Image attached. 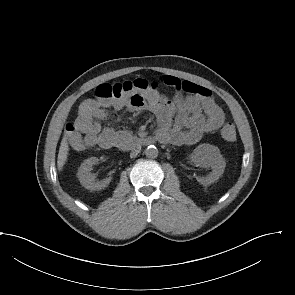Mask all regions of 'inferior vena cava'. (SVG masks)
<instances>
[{
	"label": "inferior vena cava",
	"mask_w": 295,
	"mask_h": 295,
	"mask_svg": "<svg viewBox=\"0 0 295 295\" xmlns=\"http://www.w3.org/2000/svg\"><path fill=\"white\" fill-rule=\"evenodd\" d=\"M140 150H141V146L140 145L134 146L132 148V150H131L130 157L131 158H135L138 155V153L140 152Z\"/></svg>",
	"instance_id": "1"
}]
</instances>
